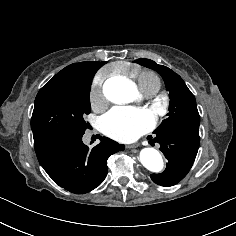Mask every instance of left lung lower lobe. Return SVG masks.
<instances>
[{"label":"left lung lower lobe","instance_id":"left-lung-lower-lobe-1","mask_svg":"<svg viewBox=\"0 0 236 236\" xmlns=\"http://www.w3.org/2000/svg\"><path fill=\"white\" fill-rule=\"evenodd\" d=\"M154 141L168 159L167 167L161 174H151L158 185L169 187L181 181L191 169L198 152L200 137L179 131H165Z\"/></svg>","mask_w":236,"mask_h":236}]
</instances>
